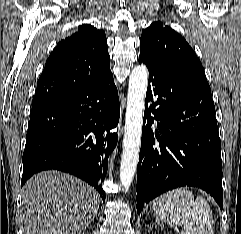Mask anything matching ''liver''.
Wrapping results in <instances>:
<instances>
[{
	"instance_id": "liver-1",
	"label": "liver",
	"mask_w": 241,
	"mask_h": 234,
	"mask_svg": "<svg viewBox=\"0 0 241 234\" xmlns=\"http://www.w3.org/2000/svg\"><path fill=\"white\" fill-rule=\"evenodd\" d=\"M99 201L98 192L74 176L40 172L22 190L25 234H80L94 220Z\"/></svg>"
}]
</instances>
